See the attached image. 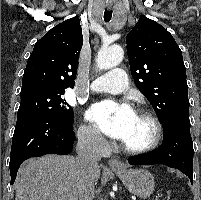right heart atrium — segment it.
I'll use <instances>...</instances> for the list:
<instances>
[{
    "label": "right heart atrium",
    "mask_w": 201,
    "mask_h": 200,
    "mask_svg": "<svg viewBox=\"0 0 201 200\" xmlns=\"http://www.w3.org/2000/svg\"><path fill=\"white\" fill-rule=\"evenodd\" d=\"M77 135L80 143L86 149L104 153L108 148V142L93 126L85 124L81 125Z\"/></svg>",
    "instance_id": "right-heart-atrium-1"
}]
</instances>
